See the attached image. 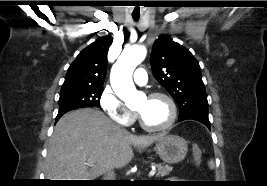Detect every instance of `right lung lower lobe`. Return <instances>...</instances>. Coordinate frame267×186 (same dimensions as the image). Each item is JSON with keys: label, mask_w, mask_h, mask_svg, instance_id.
I'll list each match as a JSON object with an SVG mask.
<instances>
[{"label": "right lung lower lobe", "mask_w": 267, "mask_h": 186, "mask_svg": "<svg viewBox=\"0 0 267 186\" xmlns=\"http://www.w3.org/2000/svg\"><path fill=\"white\" fill-rule=\"evenodd\" d=\"M68 111H64V112H59L57 117H56V122L61 118L62 115H64L65 113H67Z\"/></svg>", "instance_id": "98d812e1"}]
</instances>
